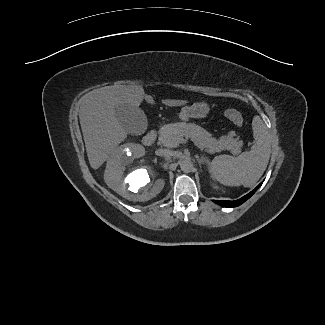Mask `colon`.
Returning <instances> with one entry per match:
<instances>
[{
    "label": "colon",
    "mask_w": 325,
    "mask_h": 325,
    "mask_svg": "<svg viewBox=\"0 0 325 325\" xmlns=\"http://www.w3.org/2000/svg\"><path fill=\"white\" fill-rule=\"evenodd\" d=\"M223 115L236 126H242L244 123L241 113L235 109H226Z\"/></svg>",
    "instance_id": "obj_1"
}]
</instances>
